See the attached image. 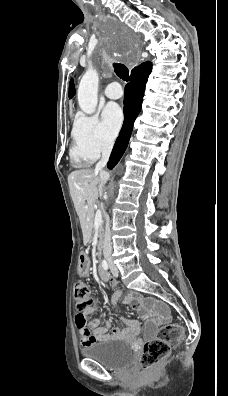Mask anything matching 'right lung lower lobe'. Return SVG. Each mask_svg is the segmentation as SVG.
Instances as JSON below:
<instances>
[{
	"label": "right lung lower lobe",
	"mask_w": 228,
	"mask_h": 396,
	"mask_svg": "<svg viewBox=\"0 0 228 396\" xmlns=\"http://www.w3.org/2000/svg\"><path fill=\"white\" fill-rule=\"evenodd\" d=\"M151 68L152 64L145 62L131 71L130 83L125 87L124 94V123L107 164L109 169L119 162L127 148L134 121L141 110L145 85Z\"/></svg>",
	"instance_id": "98d812e1"
}]
</instances>
